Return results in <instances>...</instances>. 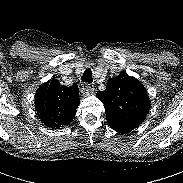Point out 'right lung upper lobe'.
Listing matches in <instances>:
<instances>
[{"instance_id": "right-lung-upper-lobe-1", "label": "right lung upper lobe", "mask_w": 183, "mask_h": 183, "mask_svg": "<svg viewBox=\"0 0 183 183\" xmlns=\"http://www.w3.org/2000/svg\"><path fill=\"white\" fill-rule=\"evenodd\" d=\"M79 89L76 84L63 86L56 79L43 83L35 94V109L48 127L68 125L75 117Z\"/></svg>"}]
</instances>
